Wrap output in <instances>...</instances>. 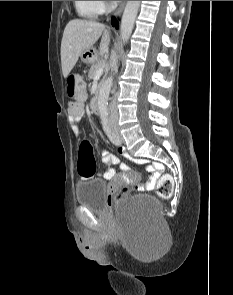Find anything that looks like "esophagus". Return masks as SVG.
<instances>
[{
	"label": "esophagus",
	"instance_id": "esophagus-1",
	"mask_svg": "<svg viewBox=\"0 0 233 295\" xmlns=\"http://www.w3.org/2000/svg\"><path fill=\"white\" fill-rule=\"evenodd\" d=\"M125 5H126V1H121V3H120V5H119L118 9L116 10V12H115V14H114L115 17H118V16L121 15V13H122L123 10H124Z\"/></svg>",
	"mask_w": 233,
	"mask_h": 295
}]
</instances>
